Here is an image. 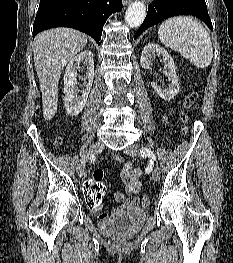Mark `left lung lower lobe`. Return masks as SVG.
Segmentation results:
<instances>
[{"instance_id":"left-lung-lower-lobe-1","label":"left lung lower lobe","mask_w":233,"mask_h":263,"mask_svg":"<svg viewBox=\"0 0 233 263\" xmlns=\"http://www.w3.org/2000/svg\"><path fill=\"white\" fill-rule=\"evenodd\" d=\"M176 15H194L203 20L212 30L205 0H156L149 5L147 16L136 32L134 38L147 28Z\"/></svg>"}]
</instances>
